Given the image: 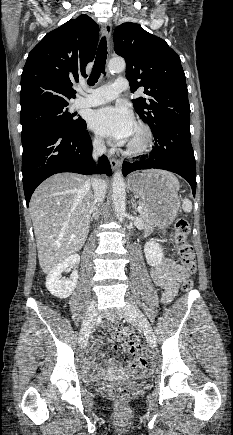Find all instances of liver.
<instances>
[{
	"mask_svg": "<svg viewBox=\"0 0 233 435\" xmlns=\"http://www.w3.org/2000/svg\"><path fill=\"white\" fill-rule=\"evenodd\" d=\"M93 204L90 180L79 174H55L37 187L29 209L39 264L44 273H49L83 247ZM72 234L76 237L71 238Z\"/></svg>",
	"mask_w": 233,
	"mask_h": 435,
	"instance_id": "1",
	"label": "liver"
}]
</instances>
